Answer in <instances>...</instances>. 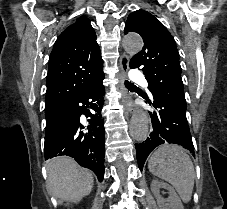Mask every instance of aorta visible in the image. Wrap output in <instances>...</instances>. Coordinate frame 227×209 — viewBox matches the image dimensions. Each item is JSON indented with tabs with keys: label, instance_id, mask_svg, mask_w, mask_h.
<instances>
[{
	"label": "aorta",
	"instance_id": "1",
	"mask_svg": "<svg viewBox=\"0 0 227 209\" xmlns=\"http://www.w3.org/2000/svg\"><path fill=\"white\" fill-rule=\"evenodd\" d=\"M142 46V39L137 34H130L123 39V47L130 56L139 53ZM130 134L138 142L144 141L147 138L149 134V122L144 113L139 112L134 115L131 121Z\"/></svg>",
	"mask_w": 227,
	"mask_h": 209
}]
</instances>
